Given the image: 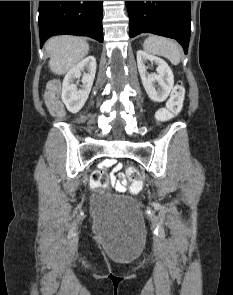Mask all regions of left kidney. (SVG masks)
I'll return each instance as SVG.
<instances>
[{
    "mask_svg": "<svg viewBox=\"0 0 233 295\" xmlns=\"http://www.w3.org/2000/svg\"><path fill=\"white\" fill-rule=\"evenodd\" d=\"M147 61L154 62L157 65V74L147 72L145 66ZM137 66L142 84L149 98L154 102L165 101L174 85L173 72L168 64L161 58L150 55L143 50H138Z\"/></svg>",
    "mask_w": 233,
    "mask_h": 295,
    "instance_id": "obj_1",
    "label": "left kidney"
}]
</instances>
